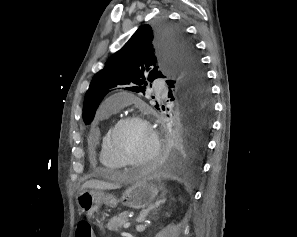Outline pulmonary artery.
Returning <instances> with one entry per match:
<instances>
[{"mask_svg": "<svg viewBox=\"0 0 297 237\" xmlns=\"http://www.w3.org/2000/svg\"><path fill=\"white\" fill-rule=\"evenodd\" d=\"M154 88L158 91H163L166 89L165 83L159 81L156 82ZM128 102L127 97L123 93H118L109 97L103 104V108L105 110H117L123 106H125Z\"/></svg>", "mask_w": 297, "mask_h": 237, "instance_id": "e3ab8cb5", "label": "pulmonary artery"}]
</instances>
